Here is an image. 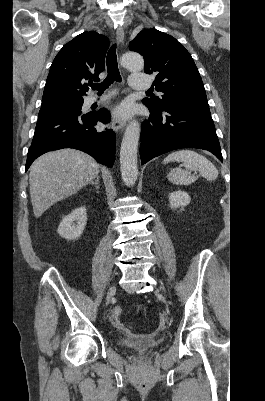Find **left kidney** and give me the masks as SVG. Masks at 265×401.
<instances>
[{
	"instance_id": "left-kidney-1",
	"label": "left kidney",
	"mask_w": 265,
	"mask_h": 401,
	"mask_svg": "<svg viewBox=\"0 0 265 401\" xmlns=\"http://www.w3.org/2000/svg\"><path fill=\"white\" fill-rule=\"evenodd\" d=\"M169 201L172 209H179V207L189 205L190 196L185 190H174L169 196Z\"/></svg>"
}]
</instances>
